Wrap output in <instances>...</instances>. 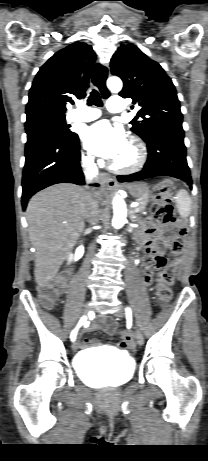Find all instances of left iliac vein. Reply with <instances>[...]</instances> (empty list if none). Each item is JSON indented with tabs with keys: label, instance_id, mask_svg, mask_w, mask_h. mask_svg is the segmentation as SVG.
I'll use <instances>...</instances> for the list:
<instances>
[{
	"label": "left iliac vein",
	"instance_id": "obj_1",
	"mask_svg": "<svg viewBox=\"0 0 208 461\" xmlns=\"http://www.w3.org/2000/svg\"><path fill=\"white\" fill-rule=\"evenodd\" d=\"M115 315L118 317H124L126 315V312L123 308H118L117 311L115 312ZM136 341L139 345L143 344V334L140 331V329L136 328Z\"/></svg>",
	"mask_w": 208,
	"mask_h": 461
}]
</instances>
